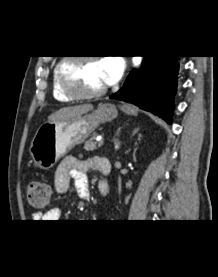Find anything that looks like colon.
<instances>
[{
  "mask_svg": "<svg viewBox=\"0 0 218 277\" xmlns=\"http://www.w3.org/2000/svg\"><path fill=\"white\" fill-rule=\"evenodd\" d=\"M26 190L28 203L31 207L42 209L49 204L52 195L49 184L34 180L27 185Z\"/></svg>",
  "mask_w": 218,
  "mask_h": 277,
  "instance_id": "5ec220e1",
  "label": "colon"
}]
</instances>
